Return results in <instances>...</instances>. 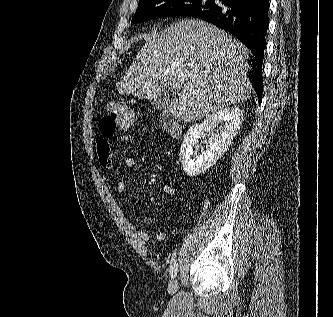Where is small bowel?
<instances>
[{
	"mask_svg": "<svg viewBox=\"0 0 333 317\" xmlns=\"http://www.w3.org/2000/svg\"><path fill=\"white\" fill-rule=\"evenodd\" d=\"M121 141H129L130 135L124 134L120 136ZM97 155L99 162L101 166L105 169L111 170L112 169V160H111V144L108 139L106 138H100L96 145ZM138 161V155L132 154L125 158L124 160V166L127 169L132 168ZM116 188L118 191V194L123 202L124 211L127 215L131 214V204L127 199L126 194V185L125 182L121 179H115ZM163 192L169 196V197H176V191L171 185H165L163 188ZM136 235L143 241H149L151 239V235L140 229H135ZM155 240L162 241L166 238L165 232H158L155 235Z\"/></svg>",
	"mask_w": 333,
	"mask_h": 317,
	"instance_id": "small-bowel-1",
	"label": "small bowel"
}]
</instances>
